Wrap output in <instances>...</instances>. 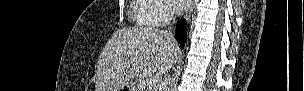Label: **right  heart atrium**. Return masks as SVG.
<instances>
[{"instance_id": "d8ad5b80", "label": "right heart atrium", "mask_w": 304, "mask_h": 91, "mask_svg": "<svg viewBox=\"0 0 304 91\" xmlns=\"http://www.w3.org/2000/svg\"><path fill=\"white\" fill-rule=\"evenodd\" d=\"M148 2L154 6L150 20L155 25L165 23L173 17V10L165 0H148Z\"/></svg>"}]
</instances>
